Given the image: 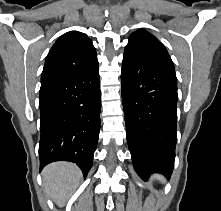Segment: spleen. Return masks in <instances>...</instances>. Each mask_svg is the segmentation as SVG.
Masks as SVG:
<instances>
[{"instance_id":"obj_1","label":"spleen","mask_w":221,"mask_h":211,"mask_svg":"<svg viewBox=\"0 0 221 211\" xmlns=\"http://www.w3.org/2000/svg\"><path fill=\"white\" fill-rule=\"evenodd\" d=\"M155 177H156L157 179H162V177L159 176V175H155Z\"/></svg>"}]
</instances>
